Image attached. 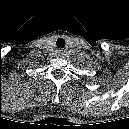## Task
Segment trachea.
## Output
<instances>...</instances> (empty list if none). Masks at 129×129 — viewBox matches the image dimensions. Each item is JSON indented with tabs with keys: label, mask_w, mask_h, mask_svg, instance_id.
<instances>
[{
	"label": "trachea",
	"mask_w": 129,
	"mask_h": 129,
	"mask_svg": "<svg viewBox=\"0 0 129 129\" xmlns=\"http://www.w3.org/2000/svg\"><path fill=\"white\" fill-rule=\"evenodd\" d=\"M56 45L58 48H64L65 47V40L63 38H58L56 41Z\"/></svg>",
	"instance_id": "trachea-1"
}]
</instances>
